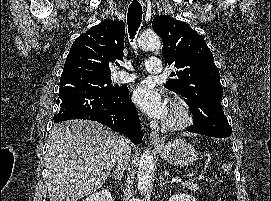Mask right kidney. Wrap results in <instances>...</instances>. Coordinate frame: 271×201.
<instances>
[{"label": "right kidney", "instance_id": "obj_1", "mask_svg": "<svg viewBox=\"0 0 271 201\" xmlns=\"http://www.w3.org/2000/svg\"><path fill=\"white\" fill-rule=\"evenodd\" d=\"M83 201H113V200H112V195L109 192V190L104 189V190H101L100 192H96L90 195Z\"/></svg>", "mask_w": 271, "mask_h": 201}]
</instances>
